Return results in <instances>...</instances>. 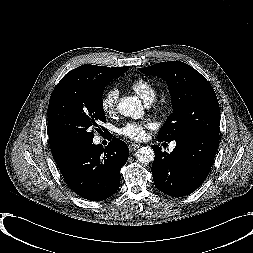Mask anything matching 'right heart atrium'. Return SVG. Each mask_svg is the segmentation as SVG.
<instances>
[{"instance_id": "right-heart-atrium-1", "label": "right heart atrium", "mask_w": 253, "mask_h": 253, "mask_svg": "<svg viewBox=\"0 0 253 253\" xmlns=\"http://www.w3.org/2000/svg\"><path fill=\"white\" fill-rule=\"evenodd\" d=\"M119 92L117 89H109L101 98L102 109L109 114L115 112L118 103Z\"/></svg>"}]
</instances>
